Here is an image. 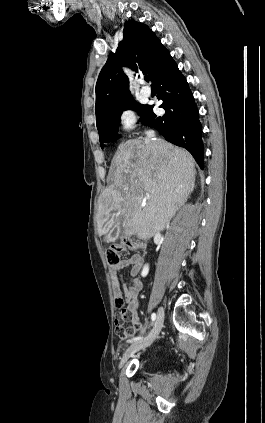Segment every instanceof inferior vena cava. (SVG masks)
Returning <instances> with one entry per match:
<instances>
[{
	"label": "inferior vena cava",
	"instance_id": "602c4592",
	"mask_svg": "<svg viewBox=\"0 0 265 423\" xmlns=\"http://www.w3.org/2000/svg\"><path fill=\"white\" fill-rule=\"evenodd\" d=\"M145 134H146V137H145L146 143H151L154 141L153 139L155 137V132L153 130H148L145 132Z\"/></svg>",
	"mask_w": 265,
	"mask_h": 423
}]
</instances>
